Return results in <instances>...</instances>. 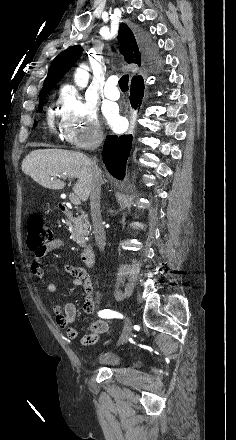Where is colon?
I'll return each instance as SVG.
<instances>
[{
    "instance_id": "obj_1",
    "label": "colon",
    "mask_w": 236,
    "mask_h": 440,
    "mask_svg": "<svg viewBox=\"0 0 236 440\" xmlns=\"http://www.w3.org/2000/svg\"><path fill=\"white\" fill-rule=\"evenodd\" d=\"M53 239L52 230L45 224L43 217L32 213L27 218V243L30 249L43 247Z\"/></svg>"
}]
</instances>
